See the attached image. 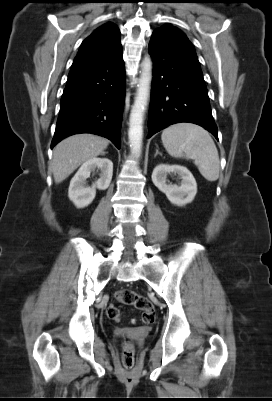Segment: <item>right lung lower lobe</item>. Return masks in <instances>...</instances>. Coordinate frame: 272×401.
<instances>
[{
  "instance_id": "right-lung-lower-lobe-1",
  "label": "right lung lower lobe",
  "mask_w": 272,
  "mask_h": 401,
  "mask_svg": "<svg viewBox=\"0 0 272 401\" xmlns=\"http://www.w3.org/2000/svg\"><path fill=\"white\" fill-rule=\"evenodd\" d=\"M124 99L121 48L104 61L68 77L51 148L70 135L92 133L108 138L119 149Z\"/></svg>"
}]
</instances>
